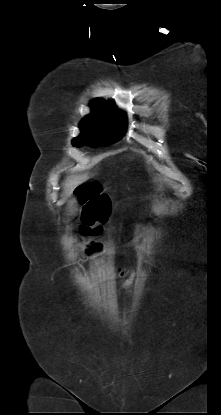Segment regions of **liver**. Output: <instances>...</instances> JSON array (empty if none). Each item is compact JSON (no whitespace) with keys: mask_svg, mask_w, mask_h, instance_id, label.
<instances>
[{"mask_svg":"<svg viewBox=\"0 0 221 415\" xmlns=\"http://www.w3.org/2000/svg\"><path fill=\"white\" fill-rule=\"evenodd\" d=\"M89 176L87 174H82V175H74V176H70L68 177L64 184H63V188L65 190V194L67 196L71 195L73 190L80 185L81 183L85 182L86 180H88Z\"/></svg>","mask_w":221,"mask_h":415,"instance_id":"1","label":"liver"}]
</instances>
